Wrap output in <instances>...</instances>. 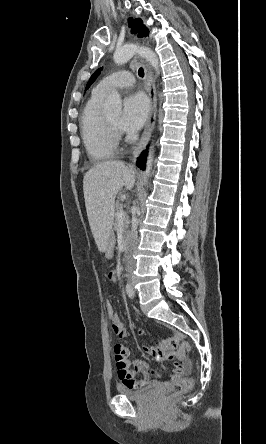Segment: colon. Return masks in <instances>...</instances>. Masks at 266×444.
Instances as JSON below:
<instances>
[{"mask_svg":"<svg viewBox=\"0 0 266 444\" xmlns=\"http://www.w3.org/2000/svg\"><path fill=\"white\" fill-rule=\"evenodd\" d=\"M106 314L111 320L118 314L111 302L106 303ZM190 351V346L187 342H181L177 348L176 355L178 358L184 357ZM193 386V379L191 377H183L174 381L166 390H164L160 397L159 403L162 405L167 404L174 397L178 396L182 392L190 389Z\"/></svg>","mask_w":266,"mask_h":444,"instance_id":"1","label":"colon"}]
</instances>
